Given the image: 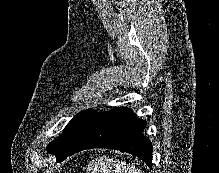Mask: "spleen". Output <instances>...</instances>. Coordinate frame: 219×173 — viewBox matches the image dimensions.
Instances as JSON below:
<instances>
[{"instance_id": "spleen-1", "label": "spleen", "mask_w": 219, "mask_h": 173, "mask_svg": "<svg viewBox=\"0 0 219 173\" xmlns=\"http://www.w3.org/2000/svg\"><path fill=\"white\" fill-rule=\"evenodd\" d=\"M88 171L91 173H143L131 164L112 161L105 158V161H98L94 166H89Z\"/></svg>"}]
</instances>
